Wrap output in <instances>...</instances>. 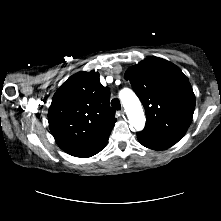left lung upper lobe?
Segmentation results:
<instances>
[{
	"instance_id": "1",
	"label": "left lung upper lobe",
	"mask_w": 221,
	"mask_h": 221,
	"mask_svg": "<svg viewBox=\"0 0 221 221\" xmlns=\"http://www.w3.org/2000/svg\"><path fill=\"white\" fill-rule=\"evenodd\" d=\"M141 100L146 129L184 135L192 122L195 95L183 72L171 62L148 57L125 74Z\"/></svg>"
}]
</instances>
